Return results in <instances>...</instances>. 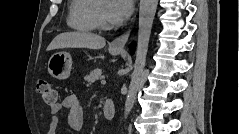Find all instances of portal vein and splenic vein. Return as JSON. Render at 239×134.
I'll return each instance as SVG.
<instances>
[{"instance_id":"obj_1","label":"portal vein and splenic vein","mask_w":239,"mask_h":134,"mask_svg":"<svg viewBox=\"0 0 239 134\" xmlns=\"http://www.w3.org/2000/svg\"><path fill=\"white\" fill-rule=\"evenodd\" d=\"M101 83H102V84H106V81H105V80H102Z\"/></svg>"}]
</instances>
